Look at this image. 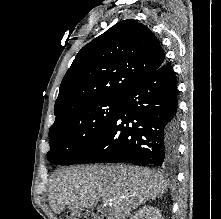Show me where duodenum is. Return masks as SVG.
<instances>
[{"label":"duodenum","mask_w":221,"mask_h":219,"mask_svg":"<svg viewBox=\"0 0 221 219\" xmlns=\"http://www.w3.org/2000/svg\"><path fill=\"white\" fill-rule=\"evenodd\" d=\"M99 219H110V218L107 217L106 215H101Z\"/></svg>","instance_id":"duodenum-1"}]
</instances>
